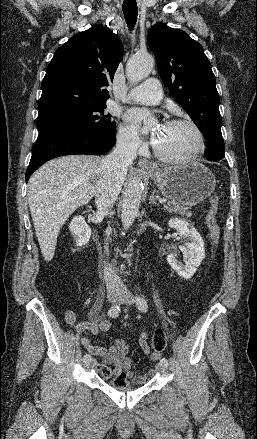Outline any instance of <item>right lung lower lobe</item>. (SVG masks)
Returning <instances> with one entry per match:
<instances>
[{
  "instance_id": "1",
  "label": "right lung lower lobe",
  "mask_w": 257,
  "mask_h": 439,
  "mask_svg": "<svg viewBox=\"0 0 257 439\" xmlns=\"http://www.w3.org/2000/svg\"><path fill=\"white\" fill-rule=\"evenodd\" d=\"M116 136L76 126H54L40 131L32 149V157L26 171V182L32 173L46 161L71 154L101 155L115 144Z\"/></svg>"
}]
</instances>
